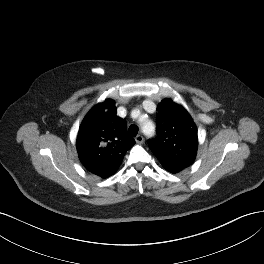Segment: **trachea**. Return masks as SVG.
Listing matches in <instances>:
<instances>
[{
	"label": "trachea",
	"instance_id": "3493384b",
	"mask_svg": "<svg viewBox=\"0 0 264 264\" xmlns=\"http://www.w3.org/2000/svg\"><path fill=\"white\" fill-rule=\"evenodd\" d=\"M128 133L131 136H136L138 133V128L135 125H131L128 129Z\"/></svg>",
	"mask_w": 264,
	"mask_h": 264
}]
</instances>
